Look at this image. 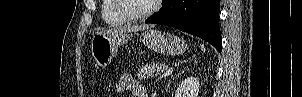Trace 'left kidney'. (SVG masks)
<instances>
[{
  "label": "left kidney",
  "instance_id": "left-kidney-1",
  "mask_svg": "<svg viewBox=\"0 0 302 97\" xmlns=\"http://www.w3.org/2000/svg\"><path fill=\"white\" fill-rule=\"evenodd\" d=\"M199 89V79L192 76L187 77L178 86L175 97H198Z\"/></svg>",
  "mask_w": 302,
  "mask_h": 97
}]
</instances>
